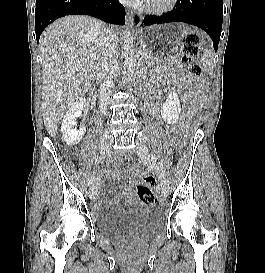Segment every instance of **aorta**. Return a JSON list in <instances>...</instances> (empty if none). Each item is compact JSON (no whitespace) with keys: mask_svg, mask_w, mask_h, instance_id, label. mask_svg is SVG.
Here are the masks:
<instances>
[{"mask_svg":"<svg viewBox=\"0 0 265 273\" xmlns=\"http://www.w3.org/2000/svg\"><path fill=\"white\" fill-rule=\"evenodd\" d=\"M123 47V56H124V68H123V79L128 81L132 78L135 67H136V56L133 47V41L131 39V33L125 31V40L122 45Z\"/></svg>","mask_w":265,"mask_h":273,"instance_id":"aorta-1","label":"aorta"}]
</instances>
